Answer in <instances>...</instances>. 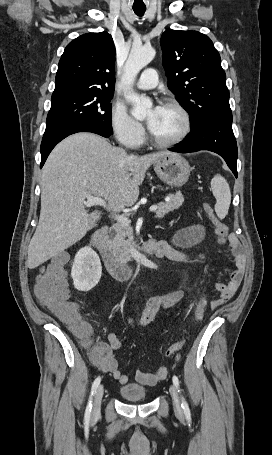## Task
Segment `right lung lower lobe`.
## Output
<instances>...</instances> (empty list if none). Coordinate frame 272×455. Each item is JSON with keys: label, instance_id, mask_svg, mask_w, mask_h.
<instances>
[{"label": "right lung lower lobe", "instance_id": "1", "mask_svg": "<svg viewBox=\"0 0 272 455\" xmlns=\"http://www.w3.org/2000/svg\"><path fill=\"white\" fill-rule=\"evenodd\" d=\"M77 132H92L99 134L103 137H110L112 133L94 123H73L63 124L51 128H46L43 135L40 151H41V164L40 168L44 165L49 153L61 140L67 136Z\"/></svg>", "mask_w": 272, "mask_h": 455}]
</instances>
